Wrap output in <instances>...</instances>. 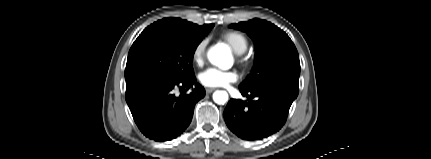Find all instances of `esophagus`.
<instances>
[{
    "label": "esophagus",
    "instance_id": "obj_1",
    "mask_svg": "<svg viewBox=\"0 0 431 159\" xmlns=\"http://www.w3.org/2000/svg\"><path fill=\"white\" fill-rule=\"evenodd\" d=\"M215 90V88H206V93L210 94Z\"/></svg>",
    "mask_w": 431,
    "mask_h": 159
}]
</instances>
